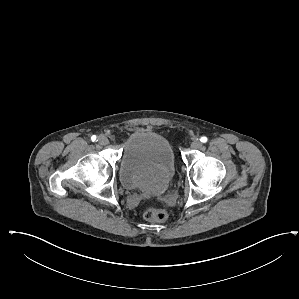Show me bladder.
Listing matches in <instances>:
<instances>
[{
  "label": "bladder",
  "instance_id": "31cf9c89",
  "mask_svg": "<svg viewBox=\"0 0 299 299\" xmlns=\"http://www.w3.org/2000/svg\"><path fill=\"white\" fill-rule=\"evenodd\" d=\"M176 169L173 147L161 134L137 130L125 141L119 179L129 189L161 194L169 186Z\"/></svg>",
  "mask_w": 299,
  "mask_h": 299
}]
</instances>
